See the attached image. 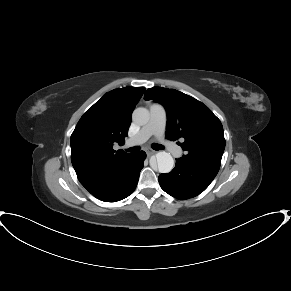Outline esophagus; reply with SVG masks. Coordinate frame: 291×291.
<instances>
[{
  "label": "esophagus",
  "mask_w": 291,
  "mask_h": 291,
  "mask_svg": "<svg viewBox=\"0 0 291 291\" xmlns=\"http://www.w3.org/2000/svg\"><path fill=\"white\" fill-rule=\"evenodd\" d=\"M146 154H147V156H151V155L155 154V151H153L151 149H147Z\"/></svg>",
  "instance_id": "34e87169"
}]
</instances>
